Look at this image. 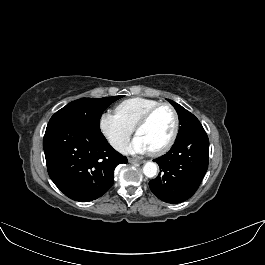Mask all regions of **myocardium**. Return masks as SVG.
Masks as SVG:
<instances>
[{"instance_id": "1", "label": "myocardium", "mask_w": 265, "mask_h": 265, "mask_svg": "<svg viewBox=\"0 0 265 265\" xmlns=\"http://www.w3.org/2000/svg\"><path fill=\"white\" fill-rule=\"evenodd\" d=\"M163 108H167L169 109L172 114H173V118H174V125H173V130L169 136V138L167 139V141L162 144L160 147L153 149V150H149V152L152 155H158L161 154L165 151H167L175 142L178 132H179V128H180V119H179V114L176 111V109L168 104V103H160L152 108H150L148 111H146L140 118L139 120L136 122L135 126H134V132L135 134H137L138 130L143 127L145 124H147L149 122V120L152 118V116L159 111L160 109Z\"/></svg>"}]
</instances>
